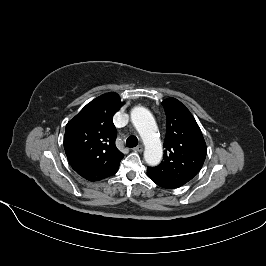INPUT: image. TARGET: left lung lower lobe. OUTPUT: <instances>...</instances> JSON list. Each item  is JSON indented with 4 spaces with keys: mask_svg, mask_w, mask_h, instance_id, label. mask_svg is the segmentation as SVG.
Masks as SVG:
<instances>
[{
    "mask_svg": "<svg viewBox=\"0 0 266 266\" xmlns=\"http://www.w3.org/2000/svg\"><path fill=\"white\" fill-rule=\"evenodd\" d=\"M147 175L148 177L154 181L157 185L163 187V188H168L164 183H162L160 180H158L155 176H153V174L147 169ZM171 189V188H168Z\"/></svg>",
    "mask_w": 266,
    "mask_h": 266,
    "instance_id": "left-lung-lower-lobe-1",
    "label": "left lung lower lobe"
}]
</instances>
